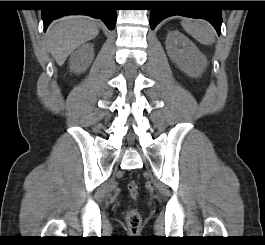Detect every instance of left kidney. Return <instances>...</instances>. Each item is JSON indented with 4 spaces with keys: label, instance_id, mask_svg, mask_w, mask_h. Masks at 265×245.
Wrapping results in <instances>:
<instances>
[{
    "label": "left kidney",
    "instance_id": "5707ae66",
    "mask_svg": "<svg viewBox=\"0 0 265 245\" xmlns=\"http://www.w3.org/2000/svg\"><path fill=\"white\" fill-rule=\"evenodd\" d=\"M165 45L168 56L181 71L190 77L201 76L207 59L190 39L175 30L168 33Z\"/></svg>",
    "mask_w": 265,
    "mask_h": 245
}]
</instances>
